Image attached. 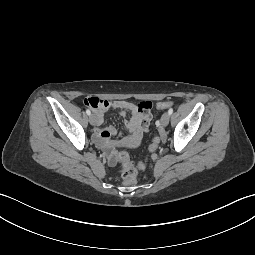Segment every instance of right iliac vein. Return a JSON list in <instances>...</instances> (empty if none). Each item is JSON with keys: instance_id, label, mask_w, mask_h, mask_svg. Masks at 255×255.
I'll use <instances>...</instances> for the list:
<instances>
[{"instance_id": "obj_1", "label": "right iliac vein", "mask_w": 255, "mask_h": 255, "mask_svg": "<svg viewBox=\"0 0 255 255\" xmlns=\"http://www.w3.org/2000/svg\"><path fill=\"white\" fill-rule=\"evenodd\" d=\"M89 122H90L91 125H95V123H96V118H95L94 115H90V117H89Z\"/></svg>"}]
</instances>
